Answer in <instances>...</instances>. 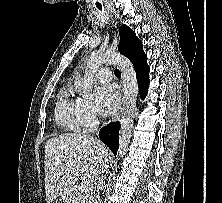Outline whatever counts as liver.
Returning <instances> with one entry per match:
<instances>
[{
  "mask_svg": "<svg viewBox=\"0 0 222 203\" xmlns=\"http://www.w3.org/2000/svg\"><path fill=\"white\" fill-rule=\"evenodd\" d=\"M45 194L51 203L58 196L74 195L76 181L95 182L108 167V148L84 134H61L45 144Z\"/></svg>",
  "mask_w": 222,
  "mask_h": 203,
  "instance_id": "6515ba94",
  "label": "liver"
}]
</instances>
